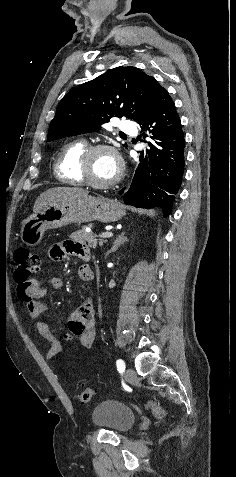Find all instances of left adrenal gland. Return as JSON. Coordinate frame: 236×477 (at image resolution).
Instances as JSON below:
<instances>
[{"mask_svg": "<svg viewBox=\"0 0 236 477\" xmlns=\"http://www.w3.org/2000/svg\"><path fill=\"white\" fill-rule=\"evenodd\" d=\"M127 238L125 237V233L123 232L121 235H119L113 242V246L110 251L107 252V255L111 252H115L118 250V248L123 245L125 242H127Z\"/></svg>", "mask_w": 236, "mask_h": 477, "instance_id": "a2214340", "label": "left adrenal gland"}]
</instances>
